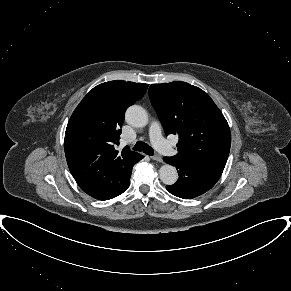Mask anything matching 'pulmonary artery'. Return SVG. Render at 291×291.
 I'll return each mask as SVG.
<instances>
[{
	"mask_svg": "<svg viewBox=\"0 0 291 291\" xmlns=\"http://www.w3.org/2000/svg\"><path fill=\"white\" fill-rule=\"evenodd\" d=\"M150 139L154 147L165 156H173L175 149L164 139L158 122H152L149 128Z\"/></svg>",
	"mask_w": 291,
	"mask_h": 291,
	"instance_id": "pulmonary-artery-1",
	"label": "pulmonary artery"
}]
</instances>
